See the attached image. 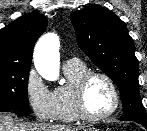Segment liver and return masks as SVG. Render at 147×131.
<instances>
[{"label": "liver", "mask_w": 147, "mask_h": 131, "mask_svg": "<svg viewBox=\"0 0 147 131\" xmlns=\"http://www.w3.org/2000/svg\"><path fill=\"white\" fill-rule=\"evenodd\" d=\"M84 127H72L58 124L16 123L11 113H0V131H80Z\"/></svg>", "instance_id": "6515ba94"}]
</instances>
